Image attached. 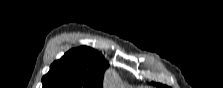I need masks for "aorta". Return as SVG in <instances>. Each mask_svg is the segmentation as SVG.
<instances>
[{"label": "aorta", "mask_w": 223, "mask_h": 88, "mask_svg": "<svg viewBox=\"0 0 223 88\" xmlns=\"http://www.w3.org/2000/svg\"><path fill=\"white\" fill-rule=\"evenodd\" d=\"M105 84H106V86H109L111 88L117 86V84H118V78H117V76L115 75L114 72L108 71L106 73Z\"/></svg>", "instance_id": "1"}]
</instances>
